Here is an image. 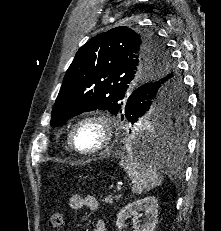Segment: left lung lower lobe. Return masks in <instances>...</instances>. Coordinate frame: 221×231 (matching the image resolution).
I'll list each match as a JSON object with an SVG mask.
<instances>
[{"label":"left lung lower lobe","instance_id":"1","mask_svg":"<svg viewBox=\"0 0 221 231\" xmlns=\"http://www.w3.org/2000/svg\"><path fill=\"white\" fill-rule=\"evenodd\" d=\"M181 89L184 92V88L181 87ZM141 92V89L138 88L131 93V95L128 98L130 104L134 103L136 105V103L140 100ZM178 101L179 99L177 100V102ZM131 113V116H128L127 120L131 124H133L138 120V114L136 115L134 112ZM127 137L130 138L132 142L142 147V150L145 154H147V152L150 151H153L152 153H154L156 152V150L158 152H163V154L167 156V164H169L173 160H178L185 152L186 143L181 130H179L177 134L166 136L159 135L158 132L154 131H144L142 133L136 132ZM150 160L153 162L162 163L161 160H158L157 157L154 156H152Z\"/></svg>","mask_w":221,"mask_h":231}]
</instances>
